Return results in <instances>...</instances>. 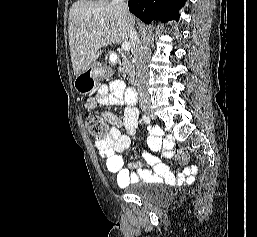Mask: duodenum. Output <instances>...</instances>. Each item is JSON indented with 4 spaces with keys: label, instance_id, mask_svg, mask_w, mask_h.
Masks as SVG:
<instances>
[{
    "label": "duodenum",
    "instance_id": "duodenum-1",
    "mask_svg": "<svg viewBox=\"0 0 257 237\" xmlns=\"http://www.w3.org/2000/svg\"><path fill=\"white\" fill-rule=\"evenodd\" d=\"M125 98L131 104H134L136 102L137 94H136V90L134 87H128L125 90Z\"/></svg>",
    "mask_w": 257,
    "mask_h": 237
}]
</instances>
